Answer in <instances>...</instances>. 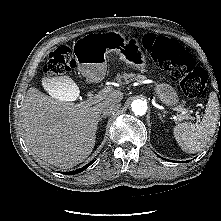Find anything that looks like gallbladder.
<instances>
[{"instance_id":"bac80fb5","label":"gallbladder","mask_w":221,"mask_h":221,"mask_svg":"<svg viewBox=\"0 0 221 221\" xmlns=\"http://www.w3.org/2000/svg\"><path fill=\"white\" fill-rule=\"evenodd\" d=\"M44 89L57 99L70 100L78 92V87L74 81L62 74L50 72L42 80Z\"/></svg>"}]
</instances>
